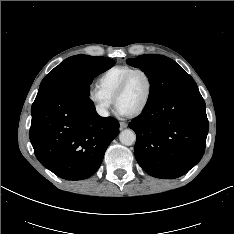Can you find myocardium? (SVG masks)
Returning a JSON list of instances; mask_svg holds the SVG:
<instances>
[{"label":"myocardium","instance_id":"1","mask_svg":"<svg viewBox=\"0 0 234 234\" xmlns=\"http://www.w3.org/2000/svg\"><path fill=\"white\" fill-rule=\"evenodd\" d=\"M136 73H143L146 76L147 81H148V91H147L146 98L144 102L142 103V105L135 111L127 114L128 116H131V117L138 116L141 113H143L151 101V98L153 95V89H154V82H153V78L151 74L143 68H134L129 73H127V75L123 78V80L121 81L120 85L118 86V88L116 89L113 95V102L115 106H117L118 98L126 91L128 84L130 82V79Z\"/></svg>","mask_w":234,"mask_h":234}]
</instances>
